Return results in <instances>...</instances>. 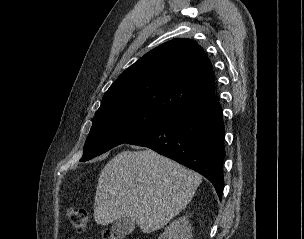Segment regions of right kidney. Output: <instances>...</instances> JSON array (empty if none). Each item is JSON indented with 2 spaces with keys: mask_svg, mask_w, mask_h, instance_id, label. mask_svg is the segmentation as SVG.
I'll list each match as a JSON object with an SVG mask.
<instances>
[{
  "mask_svg": "<svg viewBox=\"0 0 304 239\" xmlns=\"http://www.w3.org/2000/svg\"><path fill=\"white\" fill-rule=\"evenodd\" d=\"M158 239H192V227L187 217L173 221Z\"/></svg>",
  "mask_w": 304,
  "mask_h": 239,
  "instance_id": "right-kidney-1",
  "label": "right kidney"
}]
</instances>
